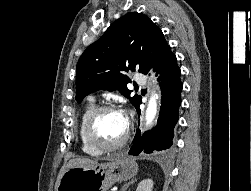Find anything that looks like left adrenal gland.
<instances>
[{
  "label": "left adrenal gland",
  "mask_w": 251,
  "mask_h": 191,
  "mask_svg": "<svg viewBox=\"0 0 251 191\" xmlns=\"http://www.w3.org/2000/svg\"><path fill=\"white\" fill-rule=\"evenodd\" d=\"M134 181H137L136 177L135 179H131V181H128V183H125V185H123L121 191H126V189H128L129 185H131V183H134Z\"/></svg>",
  "instance_id": "left-adrenal-gland-1"
}]
</instances>
